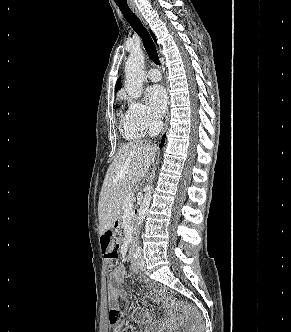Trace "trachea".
<instances>
[{
	"instance_id": "obj_1",
	"label": "trachea",
	"mask_w": 291,
	"mask_h": 332,
	"mask_svg": "<svg viewBox=\"0 0 291 332\" xmlns=\"http://www.w3.org/2000/svg\"><path fill=\"white\" fill-rule=\"evenodd\" d=\"M119 7L120 11L122 12L123 16L133 28L135 32H137L140 37L142 38L145 50L150 57V59L157 65L160 64L159 56L155 47V44L147 31L144 25L141 23L139 18L131 11L127 2L125 3H116Z\"/></svg>"
}]
</instances>
